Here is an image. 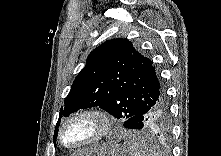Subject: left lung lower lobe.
<instances>
[{
	"mask_svg": "<svg viewBox=\"0 0 221 156\" xmlns=\"http://www.w3.org/2000/svg\"><path fill=\"white\" fill-rule=\"evenodd\" d=\"M123 126L127 129L169 133L171 128L169 99L165 88L160 98L147 110L127 119Z\"/></svg>",
	"mask_w": 221,
	"mask_h": 156,
	"instance_id": "0a47b994",
	"label": "left lung lower lobe"
}]
</instances>
